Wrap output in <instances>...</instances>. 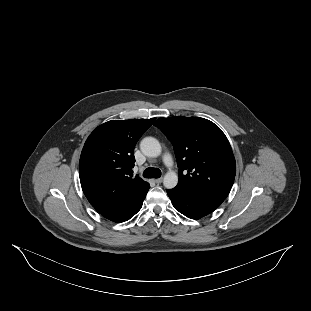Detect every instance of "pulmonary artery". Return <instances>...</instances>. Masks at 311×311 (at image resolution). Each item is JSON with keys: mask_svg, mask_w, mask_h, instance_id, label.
Segmentation results:
<instances>
[{"mask_svg": "<svg viewBox=\"0 0 311 311\" xmlns=\"http://www.w3.org/2000/svg\"><path fill=\"white\" fill-rule=\"evenodd\" d=\"M163 162L167 165V166H171L172 165V157L170 155V153H165L162 157Z\"/></svg>", "mask_w": 311, "mask_h": 311, "instance_id": "obj_1", "label": "pulmonary artery"}]
</instances>
